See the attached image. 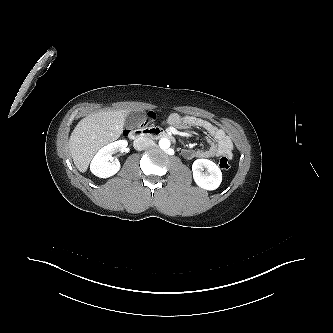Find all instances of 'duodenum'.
Returning <instances> with one entry per match:
<instances>
[{
	"label": "duodenum",
	"mask_w": 333,
	"mask_h": 333,
	"mask_svg": "<svg viewBox=\"0 0 333 333\" xmlns=\"http://www.w3.org/2000/svg\"><path fill=\"white\" fill-rule=\"evenodd\" d=\"M128 136L136 147H141L147 139L173 140L169 132L157 127L136 129L131 131Z\"/></svg>",
	"instance_id": "obj_1"
}]
</instances>
